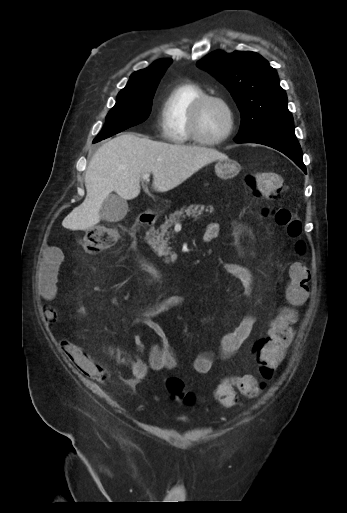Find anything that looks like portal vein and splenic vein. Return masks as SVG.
Wrapping results in <instances>:
<instances>
[{"instance_id": "18ae733b", "label": "portal vein and splenic vein", "mask_w": 347, "mask_h": 513, "mask_svg": "<svg viewBox=\"0 0 347 513\" xmlns=\"http://www.w3.org/2000/svg\"><path fill=\"white\" fill-rule=\"evenodd\" d=\"M149 176H150V175L147 173V174H144L142 178H143L144 180H148ZM175 226H176V227H179V226H180V223H176V224H175Z\"/></svg>"}]
</instances>
